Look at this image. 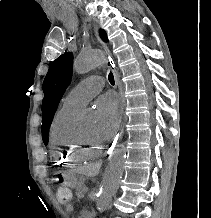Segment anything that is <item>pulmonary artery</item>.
<instances>
[{"instance_id": "1", "label": "pulmonary artery", "mask_w": 211, "mask_h": 218, "mask_svg": "<svg viewBox=\"0 0 211 218\" xmlns=\"http://www.w3.org/2000/svg\"><path fill=\"white\" fill-rule=\"evenodd\" d=\"M98 76H91L75 86L63 99V106L81 110L99 91L106 87V82Z\"/></svg>"}]
</instances>
